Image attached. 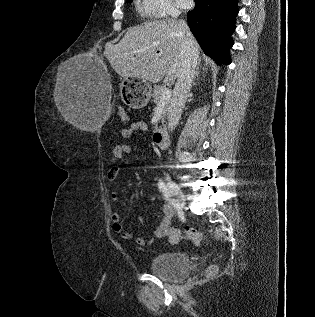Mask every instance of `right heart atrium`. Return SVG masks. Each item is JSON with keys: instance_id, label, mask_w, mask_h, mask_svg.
I'll return each instance as SVG.
<instances>
[{"instance_id": "1", "label": "right heart atrium", "mask_w": 315, "mask_h": 317, "mask_svg": "<svg viewBox=\"0 0 315 317\" xmlns=\"http://www.w3.org/2000/svg\"><path fill=\"white\" fill-rule=\"evenodd\" d=\"M139 8L147 17L155 19L179 13L173 0H139Z\"/></svg>"}]
</instances>
